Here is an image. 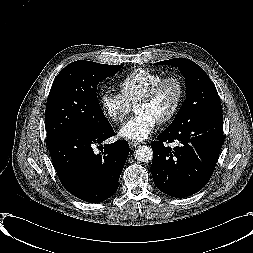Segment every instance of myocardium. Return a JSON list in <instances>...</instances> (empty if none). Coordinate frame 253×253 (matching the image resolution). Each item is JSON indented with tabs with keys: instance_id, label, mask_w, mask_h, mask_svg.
Instances as JSON below:
<instances>
[{
	"instance_id": "obj_1",
	"label": "myocardium",
	"mask_w": 253,
	"mask_h": 253,
	"mask_svg": "<svg viewBox=\"0 0 253 253\" xmlns=\"http://www.w3.org/2000/svg\"><path fill=\"white\" fill-rule=\"evenodd\" d=\"M168 82L176 83V85L178 86L179 95H178L177 102H176L175 106L173 107V109L165 117H163L160 121H158V124H160V125H164V124L171 122L175 118V116L178 114V112L180 111V109L184 103L185 94H186L185 84L179 76L167 75V76L162 77L160 80H158L153 85H151L148 88V90L136 102V105H137L140 103H146V102L151 101L155 97L157 92L160 90V88Z\"/></svg>"
}]
</instances>
